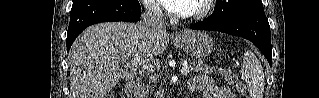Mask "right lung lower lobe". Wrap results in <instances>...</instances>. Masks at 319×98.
<instances>
[{
  "label": "right lung lower lobe",
  "instance_id": "right-lung-lower-lobe-1",
  "mask_svg": "<svg viewBox=\"0 0 319 98\" xmlns=\"http://www.w3.org/2000/svg\"><path fill=\"white\" fill-rule=\"evenodd\" d=\"M141 16L138 0H74L67 32V51L88 26L101 22H136Z\"/></svg>",
  "mask_w": 319,
  "mask_h": 98
}]
</instances>
